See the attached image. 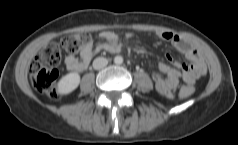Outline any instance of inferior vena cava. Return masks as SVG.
Here are the masks:
<instances>
[{
    "label": "inferior vena cava",
    "instance_id": "1",
    "mask_svg": "<svg viewBox=\"0 0 238 145\" xmlns=\"http://www.w3.org/2000/svg\"><path fill=\"white\" fill-rule=\"evenodd\" d=\"M107 64H108V60L106 58L97 57L93 61V68L96 69V70H100V69H103L104 67H106Z\"/></svg>",
    "mask_w": 238,
    "mask_h": 145
}]
</instances>
